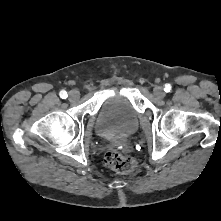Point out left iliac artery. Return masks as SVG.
<instances>
[{"instance_id": "44dca946", "label": "left iliac artery", "mask_w": 221, "mask_h": 221, "mask_svg": "<svg viewBox=\"0 0 221 221\" xmlns=\"http://www.w3.org/2000/svg\"><path fill=\"white\" fill-rule=\"evenodd\" d=\"M170 90V86H166L165 91L168 92Z\"/></svg>"}]
</instances>
